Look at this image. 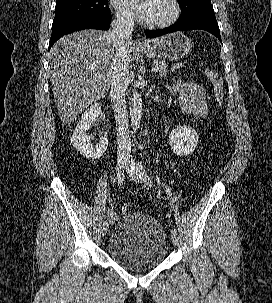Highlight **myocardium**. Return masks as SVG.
Returning <instances> with one entry per match:
<instances>
[{
  "mask_svg": "<svg viewBox=\"0 0 272 303\" xmlns=\"http://www.w3.org/2000/svg\"><path fill=\"white\" fill-rule=\"evenodd\" d=\"M169 2L171 4V8H172L170 16L162 21H157V22L147 21L146 25L149 28H166V27L171 26L178 20L180 13H181V7L179 4V1L178 0H169Z\"/></svg>",
  "mask_w": 272,
  "mask_h": 303,
  "instance_id": "myocardium-1",
  "label": "myocardium"
}]
</instances>
